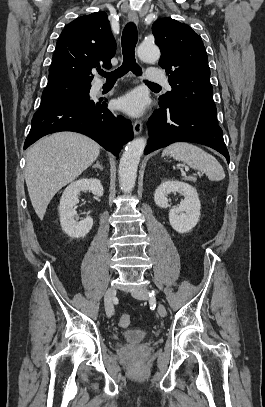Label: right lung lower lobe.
Returning <instances> with one entry per match:
<instances>
[{
  "instance_id": "1",
  "label": "right lung lower lobe",
  "mask_w": 265,
  "mask_h": 407,
  "mask_svg": "<svg viewBox=\"0 0 265 407\" xmlns=\"http://www.w3.org/2000/svg\"><path fill=\"white\" fill-rule=\"evenodd\" d=\"M106 106V100H92L88 94L72 103L38 110L24 149L49 133L74 131L89 136L118 156L122 146L132 140L133 129L129 120L112 114Z\"/></svg>"
}]
</instances>
